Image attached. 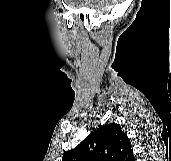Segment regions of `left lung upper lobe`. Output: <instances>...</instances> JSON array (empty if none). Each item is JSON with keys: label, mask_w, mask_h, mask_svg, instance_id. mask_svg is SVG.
I'll list each match as a JSON object with an SVG mask.
<instances>
[{"label": "left lung upper lobe", "mask_w": 171, "mask_h": 161, "mask_svg": "<svg viewBox=\"0 0 171 161\" xmlns=\"http://www.w3.org/2000/svg\"><path fill=\"white\" fill-rule=\"evenodd\" d=\"M130 139L119 124H104L78 146L65 153L62 161H131Z\"/></svg>", "instance_id": "obj_1"}]
</instances>
